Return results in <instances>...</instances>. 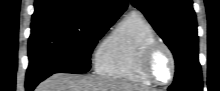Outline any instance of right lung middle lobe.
<instances>
[{"instance_id":"dd1d6c3e","label":"right lung middle lobe","mask_w":220,"mask_h":91,"mask_svg":"<svg viewBox=\"0 0 220 91\" xmlns=\"http://www.w3.org/2000/svg\"><path fill=\"white\" fill-rule=\"evenodd\" d=\"M111 26L65 20L31 25L26 82H41L57 72H87L92 50Z\"/></svg>"}]
</instances>
